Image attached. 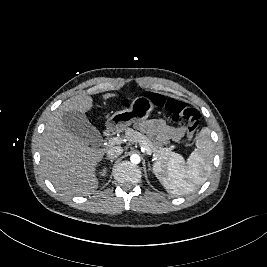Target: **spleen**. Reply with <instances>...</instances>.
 Listing matches in <instances>:
<instances>
[{"label":"spleen","instance_id":"3e777b00","mask_svg":"<svg viewBox=\"0 0 267 267\" xmlns=\"http://www.w3.org/2000/svg\"><path fill=\"white\" fill-rule=\"evenodd\" d=\"M214 146L207 127L201 129L197 136L196 148L187 162L179 155L167 160H158L153 170L168 193L174 196L187 195L199 188L212 168Z\"/></svg>","mask_w":267,"mask_h":267}]
</instances>
